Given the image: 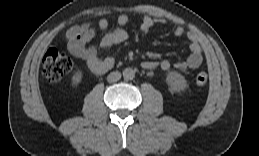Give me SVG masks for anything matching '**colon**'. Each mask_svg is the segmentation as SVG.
Wrapping results in <instances>:
<instances>
[{
	"label": "colon",
	"mask_w": 259,
	"mask_h": 156,
	"mask_svg": "<svg viewBox=\"0 0 259 156\" xmlns=\"http://www.w3.org/2000/svg\"><path fill=\"white\" fill-rule=\"evenodd\" d=\"M42 68L44 77L51 83L60 81L72 69V61L65 53L51 47L46 50L42 59ZM208 80V74L205 71L197 73L195 83L203 86Z\"/></svg>",
	"instance_id": "colon-1"
}]
</instances>
